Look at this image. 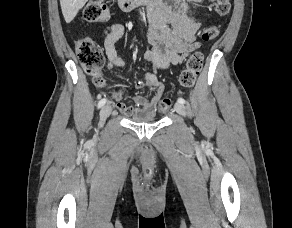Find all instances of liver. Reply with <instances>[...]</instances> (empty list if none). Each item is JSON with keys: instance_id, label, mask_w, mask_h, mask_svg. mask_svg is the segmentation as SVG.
I'll use <instances>...</instances> for the list:
<instances>
[{"instance_id": "obj_1", "label": "liver", "mask_w": 292, "mask_h": 228, "mask_svg": "<svg viewBox=\"0 0 292 228\" xmlns=\"http://www.w3.org/2000/svg\"><path fill=\"white\" fill-rule=\"evenodd\" d=\"M88 0H60L62 13L66 23H70L78 11L86 4Z\"/></svg>"}]
</instances>
